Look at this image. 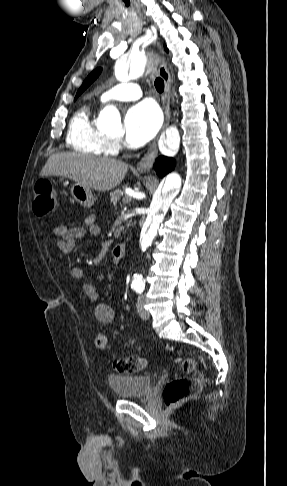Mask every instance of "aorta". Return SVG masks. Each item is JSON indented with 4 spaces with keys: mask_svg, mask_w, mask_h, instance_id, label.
<instances>
[{
    "mask_svg": "<svg viewBox=\"0 0 287 486\" xmlns=\"http://www.w3.org/2000/svg\"><path fill=\"white\" fill-rule=\"evenodd\" d=\"M147 59L132 61L130 68L125 61L118 60L115 65V73L121 79H135L144 70ZM97 123L103 128H120L121 118L118 110L113 106L105 107L99 114ZM164 145L170 152H177L180 145V134L176 126H171L166 130ZM178 191L177 183L172 179H167L159 188L158 197L152 202L147 218L140 233V245L145 251L155 239L159 226L164 219L167 206ZM132 284L136 287L143 286L144 281L141 276L135 275Z\"/></svg>",
    "mask_w": 287,
    "mask_h": 486,
    "instance_id": "obj_1",
    "label": "aorta"
}]
</instances>
